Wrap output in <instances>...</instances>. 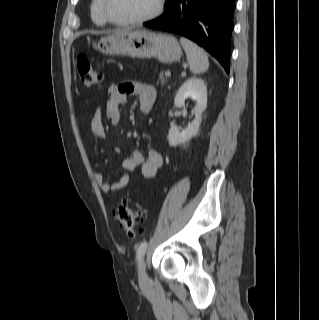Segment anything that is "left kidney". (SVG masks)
Here are the masks:
<instances>
[{
	"label": "left kidney",
	"instance_id": "1",
	"mask_svg": "<svg viewBox=\"0 0 319 320\" xmlns=\"http://www.w3.org/2000/svg\"><path fill=\"white\" fill-rule=\"evenodd\" d=\"M188 97L196 101V105L193 109L195 119L187 128L183 129L182 131L176 127L170 128L168 133V141L170 146L175 147L179 144L186 143L198 133L201 124L202 113L207 107V86L202 79L193 77L186 80L179 88L175 96L174 107H183L185 104V99ZM169 116H173L172 111L169 112Z\"/></svg>",
	"mask_w": 319,
	"mask_h": 320
}]
</instances>
